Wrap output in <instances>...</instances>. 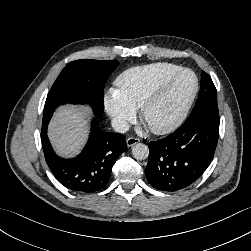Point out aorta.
Returning <instances> with one entry per match:
<instances>
[{
  "label": "aorta",
  "instance_id": "obj_1",
  "mask_svg": "<svg viewBox=\"0 0 251 251\" xmlns=\"http://www.w3.org/2000/svg\"><path fill=\"white\" fill-rule=\"evenodd\" d=\"M132 155L137 160H145L149 155V148L143 143H137L132 147Z\"/></svg>",
  "mask_w": 251,
  "mask_h": 251
}]
</instances>
